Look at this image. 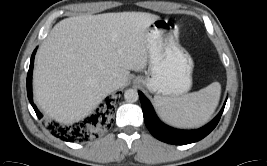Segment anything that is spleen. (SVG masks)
I'll use <instances>...</instances> for the list:
<instances>
[{
  "mask_svg": "<svg viewBox=\"0 0 267 166\" xmlns=\"http://www.w3.org/2000/svg\"><path fill=\"white\" fill-rule=\"evenodd\" d=\"M221 94V85L214 82L198 92L181 97L155 96L160 117L178 127L192 128L205 124L214 113Z\"/></svg>",
  "mask_w": 267,
  "mask_h": 166,
  "instance_id": "3e777b00",
  "label": "spleen"
}]
</instances>
